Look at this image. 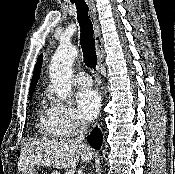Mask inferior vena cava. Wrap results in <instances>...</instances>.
<instances>
[{"label":"inferior vena cava","mask_w":175,"mask_h":174,"mask_svg":"<svg viewBox=\"0 0 175 174\" xmlns=\"http://www.w3.org/2000/svg\"><path fill=\"white\" fill-rule=\"evenodd\" d=\"M79 126H80L79 135L74 139L76 143H82L83 142L84 137H85L84 133H85V131L87 129L86 123L83 122V121L80 122Z\"/></svg>","instance_id":"obj_1"}]
</instances>
